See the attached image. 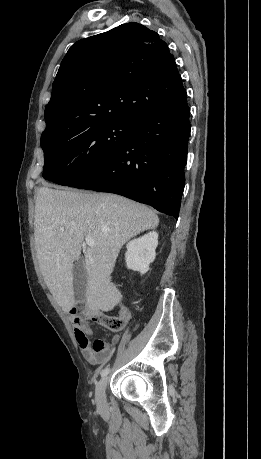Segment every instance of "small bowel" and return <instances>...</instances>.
Segmentation results:
<instances>
[{
	"mask_svg": "<svg viewBox=\"0 0 261 459\" xmlns=\"http://www.w3.org/2000/svg\"><path fill=\"white\" fill-rule=\"evenodd\" d=\"M118 309L126 320L130 318V313L127 307L121 300L118 301ZM73 329L76 341L84 358L93 365H103L109 361L112 355V346L105 340L97 338L94 341L90 340L93 335L92 329L79 319L73 320ZM118 340L114 338V342Z\"/></svg>",
	"mask_w": 261,
	"mask_h": 459,
	"instance_id": "1",
	"label": "small bowel"
}]
</instances>
